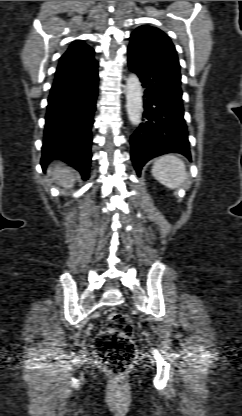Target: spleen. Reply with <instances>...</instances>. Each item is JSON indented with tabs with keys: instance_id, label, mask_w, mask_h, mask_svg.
I'll return each mask as SVG.
<instances>
[{
	"instance_id": "1",
	"label": "spleen",
	"mask_w": 242,
	"mask_h": 416,
	"mask_svg": "<svg viewBox=\"0 0 242 416\" xmlns=\"http://www.w3.org/2000/svg\"><path fill=\"white\" fill-rule=\"evenodd\" d=\"M152 175L161 184L171 189L178 188L187 179L183 161L173 154L157 158L152 166Z\"/></svg>"
}]
</instances>
